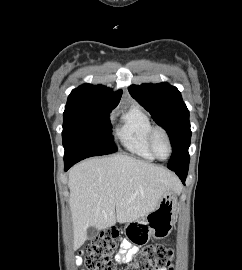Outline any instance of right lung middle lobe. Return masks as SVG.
Returning a JSON list of instances; mask_svg holds the SVG:
<instances>
[{
	"label": "right lung middle lobe",
	"instance_id": "1",
	"mask_svg": "<svg viewBox=\"0 0 242 270\" xmlns=\"http://www.w3.org/2000/svg\"><path fill=\"white\" fill-rule=\"evenodd\" d=\"M113 108L95 111H64V161H80L87 157L117 151L111 134L109 113Z\"/></svg>",
	"mask_w": 242,
	"mask_h": 270
}]
</instances>
